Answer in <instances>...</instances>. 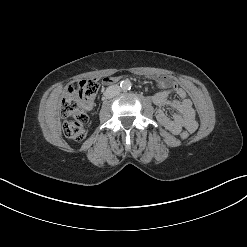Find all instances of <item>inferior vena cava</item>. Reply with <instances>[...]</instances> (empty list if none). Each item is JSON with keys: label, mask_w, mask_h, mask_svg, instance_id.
<instances>
[{"label": "inferior vena cava", "mask_w": 247, "mask_h": 247, "mask_svg": "<svg viewBox=\"0 0 247 247\" xmlns=\"http://www.w3.org/2000/svg\"><path fill=\"white\" fill-rule=\"evenodd\" d=\"M120 91H121V88L118 85H111L107 87L104 95L106 96V98H112L118 95Z\"/></svg>", "instance_id": "obj_1"}]
</instances>
